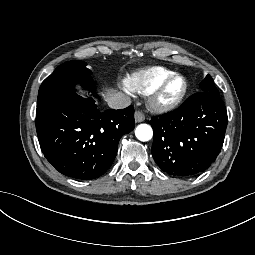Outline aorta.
Segmentation results:
<instances>
[{"mask_svg": "<svg viewBox=\"0 0 255 255\" xmlns=\"http://www.w3.org/2000/svg\"><path fill=\"white\" fill-rule=\"evenodd\" d=\"M135 135L140 141H149L153 136V130L147 124H140L135 130Z\"/></svg>", "mask_w": 255, "mask_h": 255, "instance_id": "1", "label": "aorta"}]
</instances>
